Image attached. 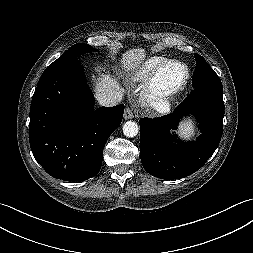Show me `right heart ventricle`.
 <instances>
[{
    "label": "right heart ventricle",
    "instance_id": "e07e8e85",
    "mask_svg": "<svg viewBox=\"0 0 253 253\" xmlns=\"http://www.w3.org/2000/svg\"><path fill=\"white\" fill-rule=\"evenodd\" d=\"M166 59L164 57L160 56H152L148 58L139 68L137 72L134 74V81L143 83L145 82L148 77L151 75V73L163 62H165Z\"/></svg>",
    "mask_w": 253,
    "mask_h": 253
}]
</instances>
